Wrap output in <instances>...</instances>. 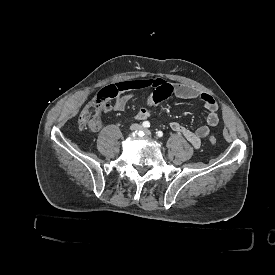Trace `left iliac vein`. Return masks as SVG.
Wrapping results in <instances>:
<instances>
[{
	"label": "left iliac vein",
	"instance_id": "1",
	"mask_svg": "<svg viewBox=\"0 0 275 275\" xmlns=\"http://www.w3.org/2000/svg\"><path fill=\"white\" fill-rule=\"evenodd\" d=\"M144 133H145V135H147V136H151V132H150L149 129H145V130H144Z\"/></svg>",
	"mask_w": 275,
	"mask_h": 275
}]
</instances>
